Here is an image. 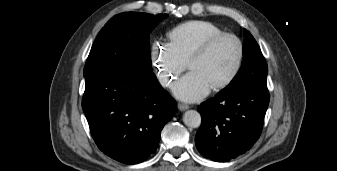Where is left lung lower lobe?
Wrapping results in <instances>:
<instances>
[{"label": "left lung lower lobe", "mask_w": 337, "mask_h": 171, "mask_svg": "<svg viewBox=\"0 0 337 171\" xmlns=\"http://www.w3.org/2000/svg\"><path fill=\"white\" fill-rule=\"evenodd\" d=\"M269 104L267 86L250 85L218 93L198 107L202 117L195 143L205 158L228 162L258 140Z\"/></svg>", "instance_id": "0a47b994"}]
</instances>
